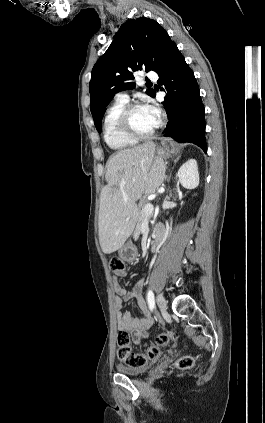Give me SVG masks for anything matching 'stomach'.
Instances as JSON below:
<instances>
[{
  "label": "stomach",
  "mask_w": 265,
  "mask_h": 423,
  "mask_svg": "<svg viewBox=\"0 0 265 423\" xmlns=\"http://www.w3.org/2000/svg\"><path fill=\"white\" fill-rule=\"evenodd\" d=\"M158 153L161 157L168 158L172 153V149L169 144H165L159 148ZM118 254L120 258L127 262H134L138 258L137 247L131 241L124 243L119 249Z\"/></svg>",
  "instance_id": "1"
}]
</instances>
